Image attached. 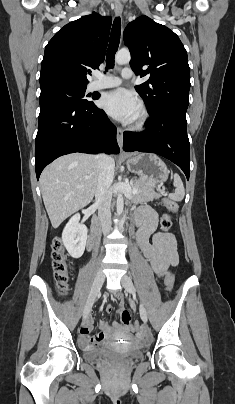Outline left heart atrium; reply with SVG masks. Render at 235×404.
<instances>
[{
    "label": "left heart atrium",
    "mask_w": 235,
    "mask_h": 404,
    "mask_svg": "<svg viewBox=\"0 0 235 404\" xmlns=\"http://www.w3.org/2000/svg\"><path fill=\"white\" fill-rule=\"evenodd\" d=\"M102 108L112 117L132 122L140 111L138 98L125 89H117L104 95L101 100Z\"/></svg>",
    "instance_id": "39dd6f15"
}]
</instances>
